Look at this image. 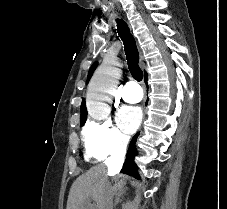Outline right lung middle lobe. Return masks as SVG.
<instances>
[{
    "label": "right lung middle lobe",
    "instance_id": "obj_1",
    "mask_svg": "<svg viewBox=\"0 0 227 209\" xmlns=\"http://www.w3.org/2000/svg\"><path fill=\"white\" fill-rule=\"evenodd\" d=\"M86 119H81L80 120V125L83 126L85 124Z\"/></svg>",
    "mask_w": 227,
    "mask_h": 209
}]
</instances>
